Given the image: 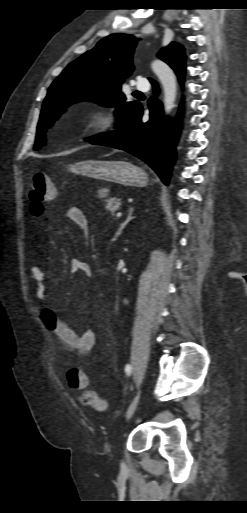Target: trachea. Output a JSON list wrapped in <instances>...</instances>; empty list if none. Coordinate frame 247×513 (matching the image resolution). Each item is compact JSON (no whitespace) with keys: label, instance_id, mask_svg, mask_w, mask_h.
<instances>
[{"label":"trachea","instance_id":"1","mask_svg":"<svg viewBox=\"0 0 247 513\" xmlns=\"http://www.w3.org/2000/svg\"><path fill=\"white\" fill-rule=\"evenodd\" d=\"M135 93H136V94H140V92H139V91H136Z\"/></svg>","mask_w":247,"mask_h":513}]
</instances>
